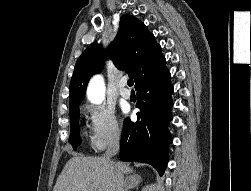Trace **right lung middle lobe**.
I'll use <instances>...</instances> for the list:
<instances>
[{
	"mask_svg": "<svg viewBox=\"0 0 251 191\" xmlns=\"http://www.w3.org/2000/svg\"><path fill=\"white\" fill-rule=\"evenodd\" d=\"M69 116H70V128L71 133L69 137V143L72 145L73 149L76 150L81 143V138L79 134V107H69Z\"/></svg>",
	"mask_w": 251,
	"mask_h": 191,
	"instance_id": "dd1d6c3e",
	"label": "right lung middle lobe"
}]
</instances>
